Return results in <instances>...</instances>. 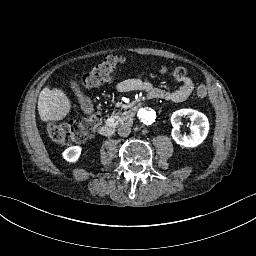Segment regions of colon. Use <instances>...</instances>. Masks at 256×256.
Returning a JSON list of instances; mask_svg holds the SVG:
<instances>
[{"label": "colon", "mask_w": 256, "mask_h": 256, "mask_svg": "<svg viewBox=\"0 0 256 256\" xmlns=\"http://www.w3.org/2000/svg\"><path fill=\"white\" fill-rule=\"evenodd\" d=\"M123 59L117 56H108L100 63L95 64L92 69L84 75V85L87 88L97 87L110 80L111 76L122 65ZM169 75L176 80L186 76V70L177 67L169 71ZM195 95L199 99L207 97V90L204 84L198 83L195 86ZM99 118L88 114L82 119L73 121L70 124L49 123L46 124L48 136L59 143H78L85 141L97 128Z\"/></svg>", "instance_id": "obj_1"}]
</instances>
